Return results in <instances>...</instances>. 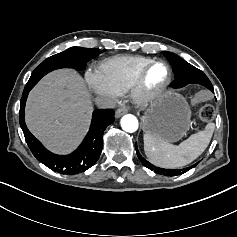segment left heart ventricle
<instances>
[{
  "instance_id": "obj_1",
  "label": "left heart ventricle",
  "mask_w": 237,
  "mask_h": 237,
  "mask_svg": "<svg viewBox=\"0 0 237 237\" xmlns=\"http://www.w3.org/2000/svg\"><path fill=\"white\" fill-rule=\"evenodd\" d=\"M166 68L163 65L153 66L147 74V84L149 87H156L161 84L166 78Z\"/></svg>"
}]
</instances>
